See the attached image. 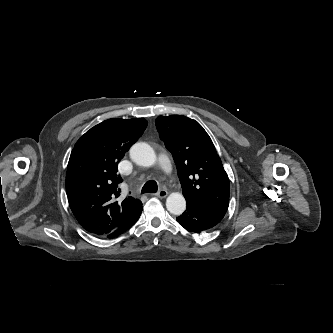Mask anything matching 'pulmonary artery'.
I'll return each mask as SVG.
<instances>
[{
	"mask_svg": "<svg viewBox=\"0 0 333 333\" xmlns=\"http://www.w3.org/2000/svg\"><path fill=\"white\" fill-rule=\"evenodd\" d=\"M159 164L165 169L169 170L171 167L170 160L166 155H160L158 158Z\"/></svg>",
	"mask_w": 333,
	"mask_h": 333,
	"instance_id": "e3ab8cb5",
	"label": "pulmonary artery"
}]
</instances>
